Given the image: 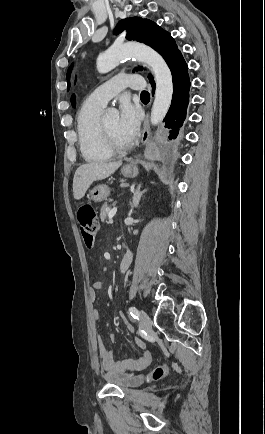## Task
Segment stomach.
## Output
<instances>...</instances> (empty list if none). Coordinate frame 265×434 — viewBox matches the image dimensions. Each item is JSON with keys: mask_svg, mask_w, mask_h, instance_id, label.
Returning a JSON list of instances; mask_svg holds the SVG:
<instances>
[{"mask_svg": "<svg viewBox=\"0 0 265 434\" xmlns=\"http://www.w3.org/2000/svg\"><path fill=\"white\" fill-rule=\"evenodd\" d=\"M121 172L125 178H136L139 174L138 168L135 164H127V166H123ZM109 194L110 188H107L105 184L95 186V188L90 192L91 200H93V202H103V200H107Z\"/></svg>", "mask_w": 265, "mask_h": 434, "instance_id": "stomach-1", "label": "stomach"}]
</instances>
